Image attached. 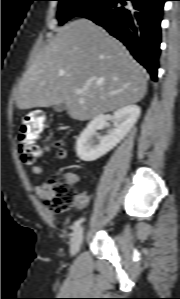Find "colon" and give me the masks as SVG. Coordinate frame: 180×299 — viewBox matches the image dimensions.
Instances as JSON below:
<instances>
[{
  "mask_svg": "<svg viewBox=\"0 0 180 299\" xmlns=\"http://www.w3.org/2000/svg\"><path fill=\"white\" fill-rule=\"evenodd\" d=\"M46 124L47 116L39 109L30 110L21 120L18 130V150L24 163L33 164L41 156L42 148L37 144V139L45 130ZM43 201L50 211L62 212L75 204L76 195L67 181L53 180Z\"/></svg>",
  "mask_w": 180,
  "mask_h": 299,
  "instance_id": "1",
  "label": "colon"
}]
</instances>
